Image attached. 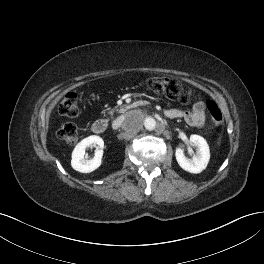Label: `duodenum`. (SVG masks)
Masks as SVG:
<instances>
[{"label": "duodenum", "instance_id": "duodenum-1", "mask_svg": "<svg viewBox=\"0 0 264 264\" xmlns=\"http://www.w3.org/2000/svg\"><path fill=\"white\" fill-rule=\"evenodd\" d=\"M141 105V103H132L128 106H125L123 108L124 111L129 110V109H134L137 108ZM108 121L106 119H98L92 124V131L96 134H101L106 131L108 128Z\"/></svg>", "mask_w": 264, "mask_h": 264}]
</instances>
